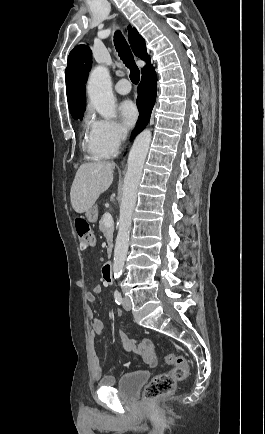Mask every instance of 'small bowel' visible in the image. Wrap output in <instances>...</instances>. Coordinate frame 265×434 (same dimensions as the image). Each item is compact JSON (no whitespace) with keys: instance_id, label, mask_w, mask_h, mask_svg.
<instances>
[{"instance_id":"1","label":"small bowel","mask_w":265,"mask_h":434,"mask_svg":"<svg viewBox=\"0 0 265 434\" xmlns=\"http://www.w3.org/2000/svg\"><path fill=\"white\" fill-rule=\"evenodd\" d=\"M102 292L101 285H95L93 289L86 293L85 298L88 304H93L96 299V295ZM118 318H123V312L118 310L117 312ZM92 317V316H91ZM92 334L94 336H99L103 332V321L99 318L92 317ZM123 346L126 350L135 352L141 355L151 366L156 364V356L154 344L148 337H128L126 334L120 335ZM93 373L96 378H101L99 380V385L101 387H110L112 385V380L110 378H102V368L100 364L99 357L94 355L93 357Z\"/></svg>"}]
</instances>
